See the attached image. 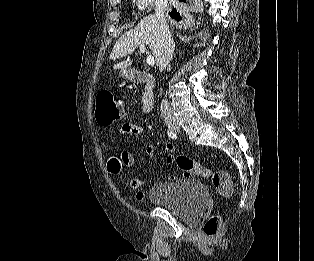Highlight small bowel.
Segmentation results:
<instances>
[{
	"label": "small bowel",
	"mask_w": 314,
	"mask_h": 261,
	"mask_svg": "<svg viewBox=\"0 0 314 261\" xmlns=\"http://www.w3.org/2000/svg\"><path fill=\"white\" fill-rule=\"evenodd\" d=\"M120 132L122 134H127V135H130V134H135V135H141V134H144V130L136 125V124H133V123H126L124 124L121 129H120ZM165 151H166V154H167V158L169 156H174L173 155V152H174V147L172 144H167L166 147H165ZM154 153H155V147L152 143H148L145 147V154L149 157V158H152L154 156ZM166 158V161L168 162ZM127 159H128V163L130 165L133 164V157L131 155H128L127 154ZM169 163V162H168ZM145 184V180L144 179H140V178H134L130 181V187L133 189V190H138L136 192V199L137 200H143L144 197H145V193L143 191H140L139 189Z\"/></svg>",
	"instance_id": "1"
}]
</instances>
